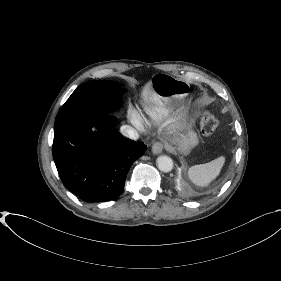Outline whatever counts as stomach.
I'll use <instances>...</instances> for the list:
<instances>
[{
	"label": "stomach",
	"mask_w": 281,
	"mask_h": 281,
	"mask_svg": "<svg viewBox=\"0 0 281 281\" xmlns=\"http://www.w3.org/2000/svg\"><path fill=\"white\" fill-rule=\"evenodd\" d=\"M150 83L154 92L166 103L181 100L189 93V84L186 81L168 74L157 73L153 75ZM197 144V134L189 128L176 140L177 148L184 153Z\"/></svg>",
	"instance_id": "stomach-1"
}]
</instances>
